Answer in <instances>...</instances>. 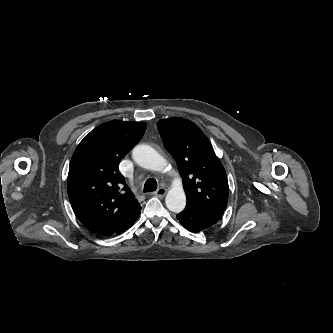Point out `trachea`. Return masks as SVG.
Instances as JSON below:
<instances>
[{
    "label": "trachea",
    "mask_w": 333,
    "mask_h": 333,
    "mask_svg": "<svg viewBox=\"0 0 333 333\" xmlns=\"http://www.w3.org/2000/svg\"><path fill=\"white\" fill-rule=\"evenodd\" d=\"M157 189V182L155 179H148L144 184V192H152Z\"/></svg>",
    "instance_id": "3493384b"
}]
</instances>
